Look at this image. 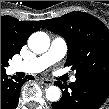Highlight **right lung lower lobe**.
Instances as JSON below:
<instances>
[{"mask_svg": "<svg viewBox=\"0 0 109 109\" xmlns=\"http://www.w3.org/2000/svg\"><path fill=\"white\" fill-rule=\"evenodd\" d=\"M32 78V76L25 79L14 76L8 78L5 72H1V109H14L19 101L21 86L25 80Z\"/></svg>", "mask_w": 109, "mask_h": 109, "instance_id": "1", "label": "right lung lower lobe"}]
</instances>
